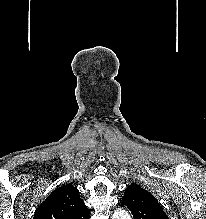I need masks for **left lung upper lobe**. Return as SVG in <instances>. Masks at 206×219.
I'll use <instances>...</instances> for the list:
<instances>
[{"label":"left lung upper lobe","mask_w":206,"mask_h":219,"mask_svg":"<svg viewBox=\"0 0 206 219\" xmlns=\"http://www.w3.org/2000/svg\"><path fill=\"white\" fill-rule=\"evenodd\" d=\"M121 206L127 207L134 219H169L157 199L135 184L125 189Z\"/></svg>","instance_id":"1"}]
</instances>
